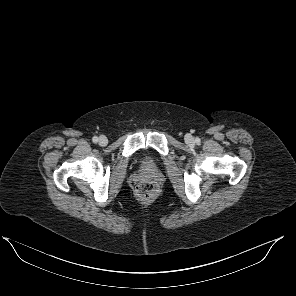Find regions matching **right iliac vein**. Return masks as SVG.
Returning a JSON list of instances; mask_svg holds the SVG:
<instances>
[{
	"mask_svg": "<svg viewBox=\"0 0 296 296\" xmlns=\"http://www.w3.org/2000/svg\"><path fill=\"white\" fill-rule=\"evenodd\" d=\"M107 143H108V139L105 136H100V138H99V144L101 146H105V145H107Z\"/></svg>",
	"mask_w": 296,
	"mask_h": 296,
	"instance_id": "1",
	"label": "right iliac vein"
}]
</instances>
